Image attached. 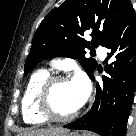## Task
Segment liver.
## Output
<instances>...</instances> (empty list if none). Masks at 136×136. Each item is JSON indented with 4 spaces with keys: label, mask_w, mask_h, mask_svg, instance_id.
Segmentation results:
<instances>
[{
    "label": "liver",
    "mask_w": 136,
    "mask_h": 136,
    "mask_svg": "<svg viewBox=\"0 0 136 136\" xmlns=\"http://www.w3.org/2000/svg\"><path fill=\"white\" fill-rule=\"evenodd\" d=\"M67 129L58 127V128H47V129H31L27 130L24 133H21L19 136H55L58 133L66 132Z\"/></svg>",
    "instance_id": "1"
}]
</instances>
